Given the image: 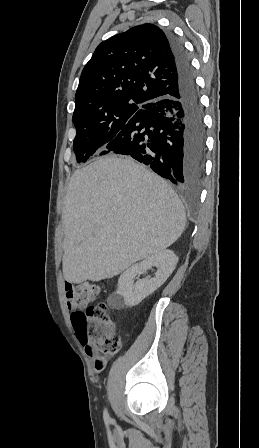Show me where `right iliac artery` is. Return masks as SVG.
Wrapping results in <instances>:
<instances>
[{
    "mask_svg": "<svg viewBox=\"0 0 259 448\" xmlns=\"http://www.w3.org/2000/svg\"><path fill=\"white\" fill-rule=\"evenodd\" d=\"M104 420H105V422H109L110 421V417H109V414H108L107 410H104Z\"/></svg>",
    "mask_w": 259,
    "mask_h": 448,
    "instance_id": "1",
    "label": "right iliac artery"
}]
</instances>
